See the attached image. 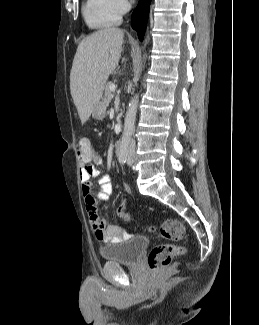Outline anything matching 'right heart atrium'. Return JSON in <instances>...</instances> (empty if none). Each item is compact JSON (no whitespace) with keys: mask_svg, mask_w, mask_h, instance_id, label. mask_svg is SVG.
Masks as SVG:
<instances>
[{"mask_svg":"<svg viewBox=\"0 0 259 325\" xmlns=\"http://www.w3.org/2000/svg\"><path fill=\"white\" fill-rule=\"evenodd\" d=\"M110 4L112 9L120 16L129 8V0H110Z\"/></svg>","mask_w":259,"mask_h":325,"instance_id":"1","label":"right heart atrium"}]
</instances>
